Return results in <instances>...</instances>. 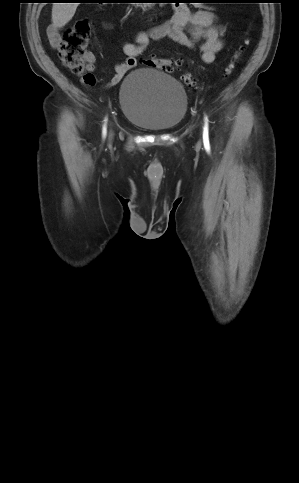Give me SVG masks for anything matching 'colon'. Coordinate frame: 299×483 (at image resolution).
I'll list each match as a JSON object with an SVG mask.
<instances>
[{
	"label": "colon",
	"instance_id": "colon-1",
	"mask_svg": "<svg viewBox=\"0 0 299 483\" xmlns=\"http://www.w3.org/2000/svg\"><path fill=\"white\" fill-rule=\"evenodd\" d=\"M92 23L89 19H81L71 26L63 36L62 42L59 46V55L62 64L70 70L73 74L82 76V82L87 86H94L96 78L92 72H85L86 49L90 37ZM248 44L246 40L244 44L234 55L233 60L225 69V75L232 74L237 61L245 51ZM142 64L155 68L162 72L170 73L174 69L182 65L181 60L165 59V58H145ZM186 85L192 88H197V80L191 74L183 76Z\"/></svg>",
	"mask_w": 299,
	"mask_h": 483
}]
</instances>
